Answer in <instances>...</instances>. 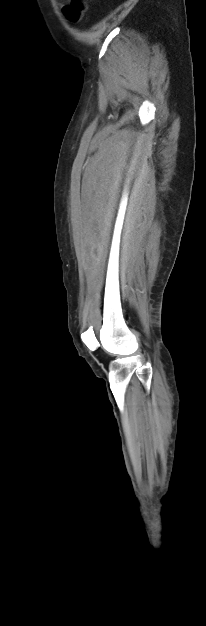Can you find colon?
<instances>
[{
	"mask_svg": "<svg viewBox=\"0 0 206 626\" xmlns=\"http://www.w3.org/2000/svg\"><path fill=\"white\" fill-rule=\"evenodd\" d=\"M84 9L85 4L83 0H72L71 3L64 8V12L70 20L78 21Z\"/></svg>",
	"mask_w": 206,
	"mask_h": 626,
	"instance_id": "5ec220e1",
	"label": "colon"
}]
</instances>
